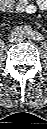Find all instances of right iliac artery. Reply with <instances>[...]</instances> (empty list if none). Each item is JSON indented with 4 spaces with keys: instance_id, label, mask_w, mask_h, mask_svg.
I'll return each mask as SVG.
<instances>
[{
    "instance_id": "obj_1",
    "label": "right iliac artery",
    "mask_w": 47,
    "mask_h": 129,
    "mask_svg": "<svg viewBox=\"0 0 47 129\" xmlns=\"http://www.w3.org/2000/svg\"><path fill=\"white\" fill-rule=\"evenodd\" d=\"M25 30L27 31L28 34H30V32H31L30 28L25 27Z\"/></svg>"
}]
</instances>
